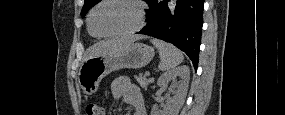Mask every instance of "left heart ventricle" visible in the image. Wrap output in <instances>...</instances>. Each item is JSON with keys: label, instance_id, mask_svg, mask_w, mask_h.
<instances>
[{"label": "left heart ventricle", "instance_id": "left-heart-ventricle-1", "mask_svg": "<svg viewBox=\"0 0 285 115\" xmlns=\"http://www.w3.org/2000/svg\"><path fill=\"white\" fill-rule=\"evenodd\" d=\"M138 24L136 8L126 2L108 1L92 16V27L97 33H113L132 29Z\"/></svg>", "mask_w": 285, "mask_h": 115}]
</instances>
